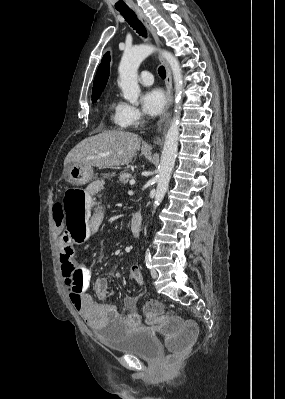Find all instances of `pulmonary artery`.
Wrapping results in <instances>:
<instances>
[{
    "mask_svg": "<svg viewBox=\"0 0 285 399\" xmlns=\"http://www.w3.org/2000/svg\"><path fill=\"white\" fill-rule=\"evenodd\" d=\"M139 82L143 85H151L153 83L152 74L149 71L141 72Z\"/></svg>",
    "mask_w": 285,
    "mask_h": 399,
    "instance_id": "pulmonary-artery-1",
    "label": "pulmonary artery"
}]
</instances>
